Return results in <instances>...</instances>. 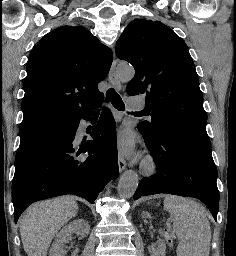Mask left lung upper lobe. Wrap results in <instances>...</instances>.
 Listing matches in <instances>:
<instances>
[{
	"instance_id": "1",
	"label": "left lung upper lobe",
	"mask_w": 236,
	"mask_h": 256,
	"mask_svg": "<svg viewBox=\"0 0 236 256\" xmlns=\"http://www.w3.org/2000/svg\"><path fill=\"white\" fill-rule=\"evenodd\" d=\"M116 55L135 69L128 94L146 93L144 110L152 118L138 124L141 133L157 138L166 127L209 139L192 57L172 29L159 21L136 19L117 41Z\"/></svg>"
}]
</instances>
